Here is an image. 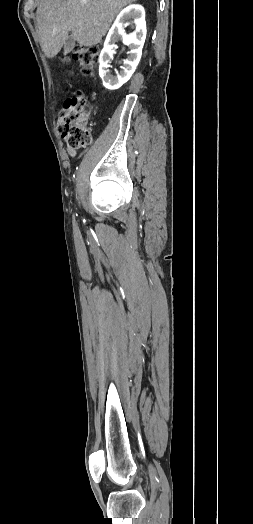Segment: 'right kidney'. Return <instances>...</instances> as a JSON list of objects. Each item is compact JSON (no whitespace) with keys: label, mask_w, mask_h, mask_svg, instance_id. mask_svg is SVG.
<instances>
[{"label":"right kidney","mask_w":253,"mask_h":524,"mask_svg":"<svg viewBox=\"0 0 253 524\" xmlns=\"http://www.w3.org/2000/svg\"><path fill=\"white\" fill-rule=\"evenodd\" d=\"M132 20L135 31L131 34H126L124 24L126 21ZM146 38V22L145 10L141 5H130L120 12L114 24L108 32L104 47L99 57V76L102 79L103 85L109 90H116L126 83L134 73L142 55V48ZM122 41L126 44L130 51L127 59L124 60V65L120 72L116 75L108 73V66L116 47V42Z\"/></svg>","instance_id":"1"}]
</instances>
